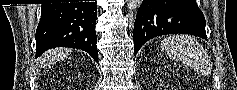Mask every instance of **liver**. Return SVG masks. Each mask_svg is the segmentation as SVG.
Instances as JSON below:
<instances>
[{"label": "liver", "mask_w": 237, "mask_h": 90, "mask_svg": "<svg viewBox=\"0 0 237 90\" xmlns=\"http://www.w3.org/2000/svg\"><path fill=\"white\" fill-rule=\"evenodd\" d=\"M66 52H69V50H66ZM45 56L49 62H54V60H57L58 56L62 58V56H66V54L65 50H53V52H47Z\"/></svg>", "instance_id": "liver-1"}]
</instances>
